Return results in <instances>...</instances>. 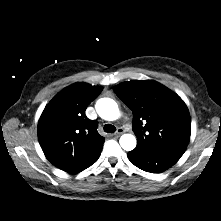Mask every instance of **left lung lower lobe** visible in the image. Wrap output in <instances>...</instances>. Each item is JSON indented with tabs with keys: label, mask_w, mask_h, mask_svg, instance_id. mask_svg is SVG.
Segmentation results:
<instances>
[{
	"label": "left lung lower lobe",
	"mask_w": 221,
	"mask_h": 221,
	"mask_svg": "<svg viewBox=\"0 0 221 221\" xmlns=\"http://www.w3.org/2000/svg\"><path fill=\"white\" fill-rule=\"evenodd\" d=\"M182 155L168 151L135 148L128 152L127 156L138 168L151 173H161L173 166Z\"/></svg>",
	"instance_id": "1"
}]
</instances>
